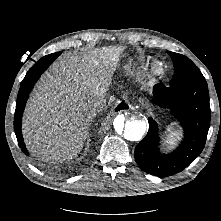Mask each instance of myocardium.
<instances>
[{
    "label": "myocardium",
    "instance_id": "1",
    "mask_svg": "<svg viewBox=\"0 0 221 221\" xmlns=\"http://www.w3.org/2000/svg\"><path fill=\"white\" fill-rule=\"evenodd\" d=\"M152 74L158 78H162L167 73V65L162 60H157L152 65Z\"/></svg>",
    "mask_w": 221,
    "mask_h": 221
}]
</instances>
